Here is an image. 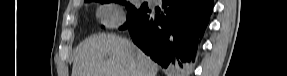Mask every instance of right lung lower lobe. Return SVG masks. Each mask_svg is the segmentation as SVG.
<instances>
[{
	"label": "right lung lower lobe",
	"mask_w": 287,
	"mask_h": 76,
	"mask_svg": "<svg viewBox=\"0 0 287 76\" xmlns=\"http://www.w3.org/2000/svg\"><path fill=\"white\" fill-rule=\"evenodd\" d=\"M163 8L161 14L148 9L128 29L133 42L155 62L180 69L195 60L213 0H164Z\"/></svg>",
	"instance_id": "right-lung-lower-lobe-1"
}]
</instances>
